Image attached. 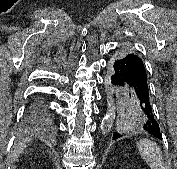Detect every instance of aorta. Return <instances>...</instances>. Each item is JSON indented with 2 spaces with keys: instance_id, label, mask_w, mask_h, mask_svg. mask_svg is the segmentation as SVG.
Wrapping results in <instances>:
<instances>
[{
  "instance_id": "aorta-1",
  "label": "aorta",
  "mask_w": 177,
  "mask_h": 169,
  "mask_svg": "<svg viewBox=\"0 0 177 169\" xmlns=\"http://www.w3.org/2000/svg\"><path fill=\"white\" fill-rule=\"evenodd\" d=\"M115 119V107H114V103L113 101H109L108 102V109H107V113L103 122V127L106 130H111L112 126H113V122Z\"/></svg>"
}]
</instances>
